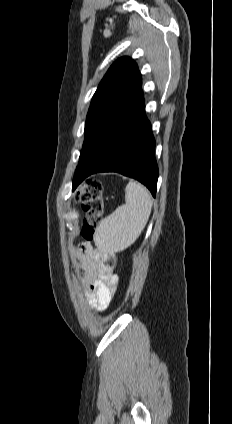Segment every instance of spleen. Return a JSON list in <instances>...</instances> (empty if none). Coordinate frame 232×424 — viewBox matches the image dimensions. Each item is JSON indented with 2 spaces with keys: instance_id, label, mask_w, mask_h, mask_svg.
I'll return each instance as SVG.
<instances>
[{
  "instance_id": "obj_1",
  "label": "spleen",
  "mask_w": 232,
  "mask_h": 424,
  "mask_svg": "<svg viewBox=\"0 0 232 424\" xmlns=\"http://www.w3.org/2000/svg\"><path fill=\"white\" fill-rule=\"evenodd\" d=\"M152 209L151 195L140 183L130 180L125 204L100 221L94 242L99 250L117 253L132 245L147 224Z\"/></svg>"
}]
</instances>
